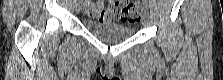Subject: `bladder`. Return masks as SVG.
<instances>
[{
  "label": "bladder",
  "mask_w": 223,
  "mask_h": 80,
  "mask_svg": "<svg viewBox=\"0 0 223 80\" xmlns=\"http://www.w3.org/2000/svg\"><path fill=\"white\" fill-rule=\"evenodd\" d=\"M85 29L102 41H124L134 35V29L122 24L85 19Z\"/></svg>",
  "instance_id": "bladder-1"
}]
</instances>
